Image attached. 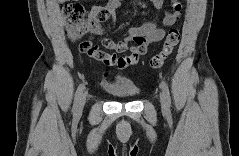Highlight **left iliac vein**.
<instances>
[{
    "mask_svg": "<svg viewBox=\"0 0 239 156\" xmlns=\"http://www.w3.org/2000/svg\"><path fill=\"white\" fill-rule=\"evenodd\" d=\"M160 102H161V106L163 109H166L167 108V105H166V101H165V98H164V95L161 94L160 95Z\"/></svg>",
    "mask_w": 239,
    "mask_h": 156,
    "instance_id": "1",
    "label": "left iliac vein"
}]
</instances>
